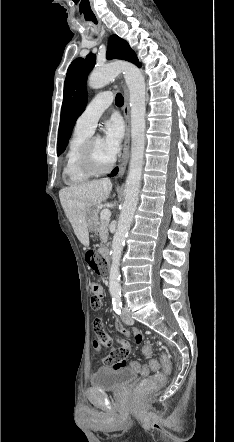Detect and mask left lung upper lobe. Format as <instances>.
<instances>
[{
  "label": "left lung upper lobe",
  "instance_id": "left-lung-upper-lobe-1",
  "mask_svg": "<svg viewBox=\"0 0 234 442\" xmlns=\"http://www.w3.org/2000/svg\"><path fill=\"white\" fill-rule=\"evenodd\" d=\"M95 58L96 56L92 53L88 54L85 59L77 58L67 70L58 131V156L65 150L75 122L86 107V81L95 65ZM112 58L127 60L137 66L141 64L129 44L117 35H112L109 39L107 59Z\"/></svg>",
  "mask_w": 234,
  "mask_h": 442
}]
</instances>
